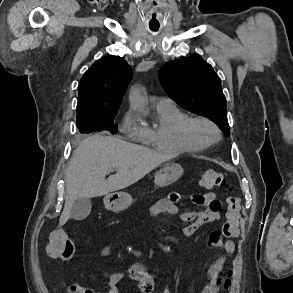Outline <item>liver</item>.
Masks as SVG:
<instances>
[{"instance_id":"obj_1","label":"liver","mask_w":293,"mask_h":293,"mask_svg":"<svg viewBox=\"0 0 293 293\" xmlns=\"http://www.w3.org/2000/svg\"><path fill=\"white\" fill-rule=\"evenodd\" d=\"M174 155L151 150L112 136L95 134L81 141L66 170V196L59 226L71 216L78 198H94L124 189ZM111 169L116 174L105 179Z\"/></svg>"}]
</instances>
